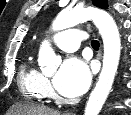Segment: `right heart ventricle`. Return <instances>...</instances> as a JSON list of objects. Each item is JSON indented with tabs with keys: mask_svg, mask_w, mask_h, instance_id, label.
Wrapping results in <instances>:
<instances>
[{
	"mask_svg": "<svg viewBox=\"0 0 131 115\" xmlns=\"http://www.w3.org/2000/svg\"><path fill=\"white\" fill-rule=\"evenodd\" d=\"M43 74L30 59L25 60L19 70L18 84L22 95L28 100H39L46 95L43 89Z\"/></svg>",
	"mask_w": 131,
	"mask_h": 115,
	"instance_id": "1",
	"label": "right heart ventricle"
}]
</instances>
